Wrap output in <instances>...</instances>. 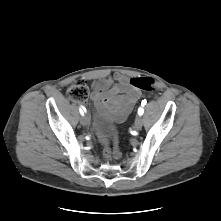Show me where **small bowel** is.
<instances>
[{
	"label": "small bowel",
	"instance_id": "small-bowel-1",
	"mask_svg": "<svg viewBox=\"0 0 221 221\" xmlns=\"http://www.w3.org/2000/svg\"><path fill=\"white\" fill-rule=\"evenodd\" d=\"M92 95L97 102H105L117 122H123L141 98V93L130 85L122 73L99 80L92 86Z\"/></svg>",
	"mask_w": 221,
	"mask_h": 221
}]
</instances>
